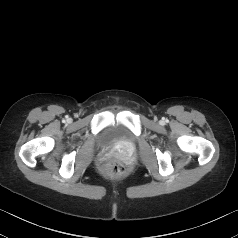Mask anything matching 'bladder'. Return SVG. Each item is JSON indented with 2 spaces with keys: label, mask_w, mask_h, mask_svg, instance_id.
I'll return each mask as SVG.
<instances>
[{
  "label": "bladder",
  "mask_w": 238,
  "mask_h": 238,
  "mask_svg": "<svg viewBox=\"0 0 238 238\" xmlns=\"http://www.w3.org/2000/svg\"><path fill=\"white\" fill-rule=\"evenodd\" d=\"M99 140L105 146H115L131 140L128 130L121 125H110L105 127Z\"/></svg>",
  "instance_id": "1"
}]
</instances>
